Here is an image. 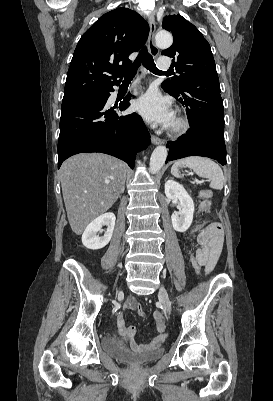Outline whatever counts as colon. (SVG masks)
Masks as SVG:
<instances>
[{
  "label": "colon",
  "instance_id": "obj_1",
  "mask_svg": "<svg viewBox=\"0 0 273 401\" xmlns=\"http://www.w3.org/2000/svg\"><path fill=\"white\" fill-rule=\"evenodd\" d=\"M222 231L220 224L216 222H209L207 224V229L206 232H201L200 233V240L201 241H217L219 238V235ZM137 312L139 316H144L145 315V309L143 304H138L137 305Z\"/></svg>",
  "mask_w": 273,
  "mask_h": 401
}]
</instances>
